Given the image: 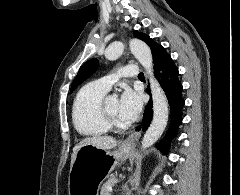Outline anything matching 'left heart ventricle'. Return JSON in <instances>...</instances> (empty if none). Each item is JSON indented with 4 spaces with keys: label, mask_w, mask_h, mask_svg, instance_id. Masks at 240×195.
Listing matches in <instances>:
<instances>
[{
    "label": "left heart ventricle",
    "mask_w": 240,
    "mask_h": 195,
    "mask_svg": "<svg viewBox=\"0 0 240 195\" xmlns=\"http://www.w3.org/2000/svg\"><path fill=\"white\" fill-rule=\"evenodd\" d=\"M109 108L111 110V112L121 118L120 115V104H119V99L117 97H111L109 100Z\"/></svg>",
    "instance_id": "b2bd125f"
}]
</instances>
